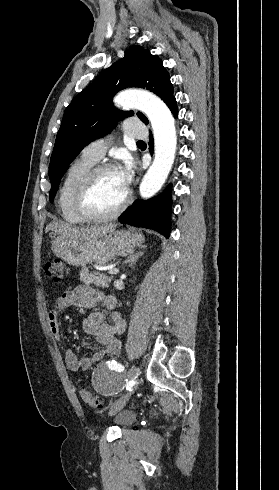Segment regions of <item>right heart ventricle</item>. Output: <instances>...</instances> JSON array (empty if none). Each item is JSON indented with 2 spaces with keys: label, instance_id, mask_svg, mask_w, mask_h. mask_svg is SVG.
Here are the masks:
<instances>
[{
  "label": "right heart ventricle",
  "instance_id": "obj_1",
  "mask_svg": "<svg viewBox=\"0 0 279 490\" xmlns=\"http://www.w3.org/2000/svg\"><path fill=\"white\" fill-rule=\"evenodd\" d=\"M94 164L80 156L66 169L59 189L58 203L62 218L69 224L83 225L87 222L77 211L76 195L83 176Z\"/></svg>",
  "mask_w": 279,
  "mask_h": 490
}]
</instances>
